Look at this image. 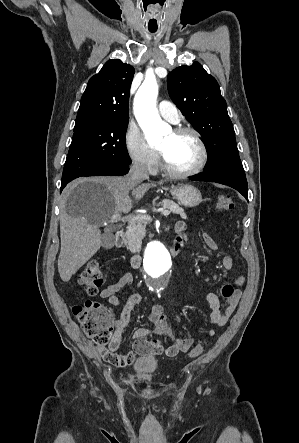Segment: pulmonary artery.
Segmentation results:
<instances>
[{
  "mask_svg": "<svg viewBox=\"0 0 299 443\" xmlns=\"http://www.w3.org/2000/svg\"><path fill=\"white\" fill-rule=\"evenodd\" d=\"M158 111L164 119L168 120L171 123H177L179 120L178 110L176 106L169 101H161L158 104Z\"/></svg>",
  "mask_w": 299,
  "mask_h": 443,
  "instance_id": "obj_1",
  "label": "pulmonary artery"
}]
</instances>
